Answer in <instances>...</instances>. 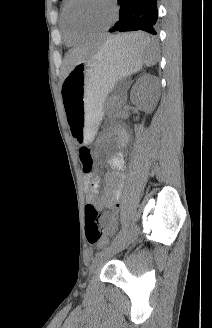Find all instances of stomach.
Segmentation results:
<instances>
[{
	"label": "stomach",
	"mask_w": 212,
	"mask_h": 328,
	"mask_svg": "<svg viewBox=\"0 0 212 328\" xmlns=\"http://www.w3.org/2000/svg\"><path fill=\"white\" fill-rule=\"evenodd\" d=\"M144 56V51L121 47L113 36L67 74L62 82V96L68 127L77 143L92 141L106 98L119 80L141 69Z\"/></svg>",
	"instance_id": "0dacf381"
}]
</instances>
